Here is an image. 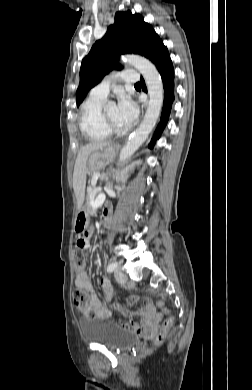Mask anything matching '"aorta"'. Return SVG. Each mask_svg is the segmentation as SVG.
Here are the masks:
<instances>
[{
  "instance_id": "1",
  "label": "aorta",
  "mask_w": 252,
  "mask_h": 390,
  "mask_svg": "<svg viewBox=\"0 0 252 390\" xmlns=\"http://www.w3.org/2000/svg\"><path fill=\"white\" fill-rule=\"evenodd\" d=\"M124 61L134 66L143 75L148 88L149 101L143 121L120 152V162L128 159L146 140L159 118L164 98L161 76L149 60L138 55H127Z\"/></svg>"
}]
</instances>
